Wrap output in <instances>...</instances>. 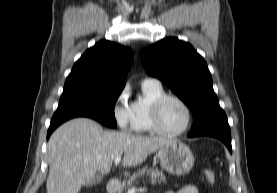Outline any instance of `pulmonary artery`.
I'll use <instances>...</instances> for the list:
<instances>
[{
  "label": "pulmonary artery",
  "instance_id": "1",
  "mask_svg": "<svg viewBox=\"0 0 277 193\" xmlns=\"http://www.w3.org/2000/svg\"><path fill=\"white\" fill-rule=\"evenodd\" d=\"M142 84H149V85H161L160 84V81L155 79V78H145L143 81H142Z\"/></svg>",
  "mask_w": 277,
  "mask_h": 193
}]
</instances>
